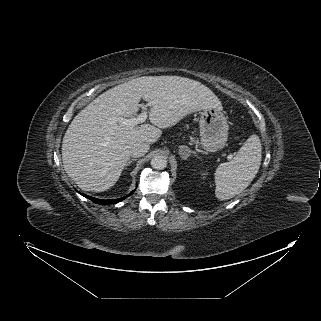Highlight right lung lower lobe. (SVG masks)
<instances>
[{"instance_id":"1","label":"right lung lower lobe","mask_w":321,"mask_h":321,"mask_svg":"<svg viewBox=\"0 0 321 321\" xmlns=\"http://www.w3.org/2000/svg\"><path fill=\"white\" fill-rule=\"evenodd\" d=\"M135 190H133L128 196L132 195ZM81 195H83L84 197L90 199L94 203L101 204V205L115 204V203H118V202H120V201H122V200H124L126 198V197H122V198H119V199L102 200V199H97V198L88 196V195L83 194V193H81Z\"/></svg>"}]
</instances>
